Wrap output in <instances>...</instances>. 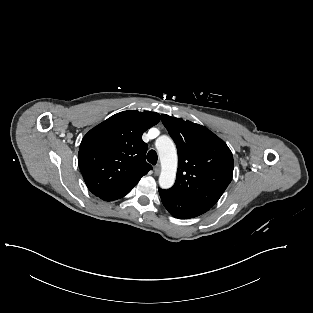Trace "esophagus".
Listing matches in <instances>:
<instances>
[{
    "mask_svg": "<svg viewBox=\"0 0 313 313\" xmlns=\"http://www.w3.org/2000/svg\"><path fill=\"white\" fill-rule=\"evenodd\" d=\"M160 170H161L160 165H159V164H157V165L155 166V168H154L155 175H159Z\"/></svg>",
    "mask_w": 313,
    "mask_h": 313,
    "instance_id": "1",
    "label": "esophagus"
}]
</instances>
